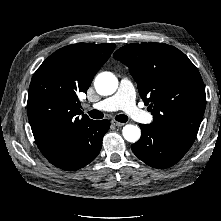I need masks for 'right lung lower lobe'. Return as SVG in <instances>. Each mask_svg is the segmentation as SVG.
Instances as JSON below:
<instances>
[{
	"instance_id": "obj_1",
	"label": "right lung lower lobe",
	"mask_w": 221,
	"mask_h": 221,
	"mask_svg": "<svg viewBox=\"0 0 221 221\" xmlns=\"http://www.w3.org/2000/svg\"><path fill=\"white\" fill-rule=\"evenodd\" d=\"M109 127L108 120L93 121L84 129L76 143L45 157L51 164L63 170H78L97 157L103 136Z\"/></svg>"
}]
</instances>
